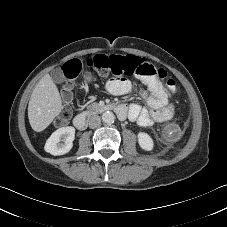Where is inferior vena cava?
Instances as JSON below:
<instances>
[{
	"label": "inferior vena cava",
	"mask_w": 227,
	"mask_h": 227,
	"mask_svg": "<svg viewBox=\"0 0 227 227\" xmlns=\"http://www.w3.org/2000/svg\"><path fill=\"white\" fill-rule=\"evenodd\" d=\"M90 128H97L101 123V118L98 115H93L88 119Z\"/></svg>",
	"instance_id": "1"
}]
</instances>
